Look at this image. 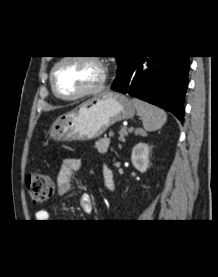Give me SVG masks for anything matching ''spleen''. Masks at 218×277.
Wrapping results in <instances>:
<instances>
[{"label": "spleen", "instance_id": "obj_1", "mask_svg": "<svg viewBox=\"0 0 218 277\" xmlns=\"http://www.w3.org/2000/svg\"><path fill=\"white\" fill-rule=\"evenodd\" d=\"M132 101L146 131L158 130L165 124L167 115L162 109L136 98Z\"/></svg>", "mask_w": 218, "mask_h": 277}]
</instances>
